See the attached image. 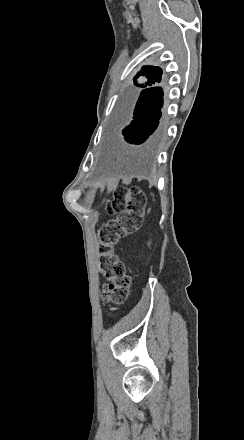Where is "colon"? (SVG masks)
<instances>
[{"instance_id": "colon-1", "label": "colon", "mask_w": 244, "mask_h": 440, "mask_svg": "<svg viewBox=\"0 0 244 440\" xmlns=\"http://www.w3.org/2000/svg\"><path fill=\"white\" fill-rule=\"evenodd\" d=\"M111 218L101 227L98 239L100 270L108 280L101 288L103 301L122 306L128 300L132 277L126 272L114 247L119 238L139 230L144 217V197L142 191L133 186L127 192L115 193L106 208Z\"/></svg>"}]
</instances>
